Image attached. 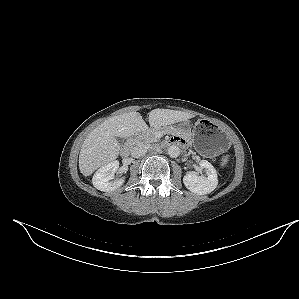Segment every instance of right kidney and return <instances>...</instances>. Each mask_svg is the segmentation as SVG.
<instances>
[{"label": "right kidney", "mask_w": 299, "mask_h": 299, "mask_svg": "<svg viewBox=\"0 0 299 299\" xmlns=\"http://www.w3.org/2000/svg\"><path fill=\"white\" fill-rule=\"evenodd\" d=\"M118 168L119 162L116 160L98 169L92 178L94 187L100 191L110 192L122 186L125 181L124 177L118 180L110 181L114 179V174Z\"/></svg>", "instance_id": "right-kidney-1"}]
</instances>
